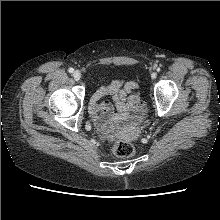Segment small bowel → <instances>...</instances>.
<instances>
[{
	"mask_svg": "<svg viewBox=\"0 0 220 220\" xmlns=\"http://www.w3.org/2000/svg\"><path fill=\"white\" fill-rule=\"evenodd\" d=\"M105 95L113 96L117 114H113V107L109 101L98 103ZM143 109L144 103L141 101L140 89L134 81L124 83L114 80L97 90L89 103L90 117L104 134L110 133L112 119L124 120L130 115L142 114Z\"/></svg>",
	"mask_w": 220,
	"mask_h": 220,
	"instance_id": "1",
	"label": "small bowel"
}]
</instances>
